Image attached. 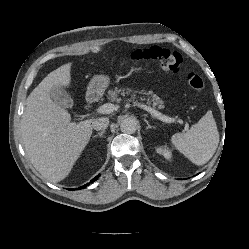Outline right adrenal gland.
Instances as JSON below:
<instances>
[{
    "label": "right adrenal gland",
    "instance_id": "1",
    "mask_svg": "<svg viewBox=\"0 0 249 249\" xmlns=\"http://www.w3.org/2000/svg\"><path fill=\"white\" fill-rule=\"evenodd\" d=\"M104 133H105V130H102L101 132L94 135L93 138L98 137V136L102 137Z\"/></svg>",
    "mask_w": 249,
    "mask_h": 249
}]
</instances>
